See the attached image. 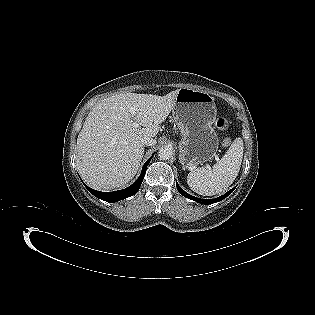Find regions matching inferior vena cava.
Returning <instances> with one entry per match:
<instances>
[{
	"label": "inferior vena cava",
	"mask_w": 315,
	"mask_h": 315,
	"mask_svg": "<svg viewBox=\"0 0 315 315\" xmlns=\"http://www.w3.org/2000/svg\"><path fill=\"white\" fill-rule=\"evenodd\" d=\"M144 146H152L156 144V140L153 138L146 137L142 140Z\"/></svg>",
	"instance_id": "1"
}]
</instances>
